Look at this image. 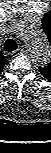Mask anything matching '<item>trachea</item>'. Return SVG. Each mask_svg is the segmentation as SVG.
I'll return each mask as SVG.
<instances>
[{"label": "trachea", "mask_w": 51, "mask_h": 153, "mask_svg": "<svg viewBox=\"0 0 51 153\" xmlns=\"http://www.w3.org/2000/svg\"><path fill=\"white\" fill-rule=\"evenodd\" d=\"M17 43L14 39H7L4 43V49L6 52H12L16 50Z\"/></svg>", "instance_id": "obj_1"}]
</instances>
